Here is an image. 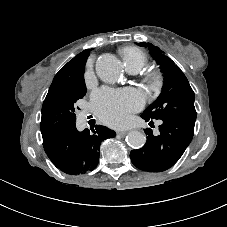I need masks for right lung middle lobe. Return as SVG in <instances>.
Here are the masks:
<instances>
[{
  "label": "right lung middle lobe",
  "instance_id": "dd1d6c3e",
  "mask_svg": "<svg viewBox=\"0 0 227 227\" xmlns=\"http://www.w3.org/2000/svg\"><path fill=\"white\" fill-rule=\"evenodd\" d=\"M86 94L84 78L53 81L42 106L40 129L42 137L76 122V102Z\"/></svg>",
  "mask_w": 227,
  "mask_h": 227
}]
</instances>
